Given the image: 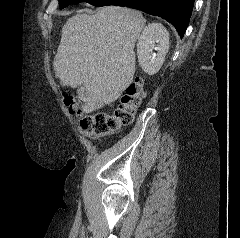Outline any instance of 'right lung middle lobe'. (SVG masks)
Returning <instances> with one entry per match:
<instances>
[{"instance_id":"obj_1","label":"right lung middle lobe","mask_w":240,"mask_h":238,"mask_svg":"<svg viewBox=\"0 0 240 238\" xmlns=\"http://www.w3.org/2000/svg\"><path fill=\"white\" fill-rule=\"evenodd\" d=\"M100 0H59L60 9L67 7L71 3L87 2L91 5H95Z\"/></svg>"}]
</instances>
